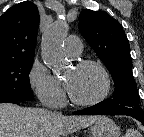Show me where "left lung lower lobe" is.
I'll return each instance as SVG.
<instances>
[{
  "label": "left lung lower lobe",
  "mask_w": 144,
  "mask_h": 137,
  "mask_svg": "<svg viewBox=\"0 0 144 137\" xmlns=\"http://www.w3.org/2000/svg\"><path fill=\"white\" fill-rule=\"evenodd\" d=\"M73 114L78 115H127L139 120L144 125V112L141 108L115 107L110 108L104 102L98 103L95 106L78 110Z\"/></svg>",
  "instance_id": "1"
}]
</instances>
